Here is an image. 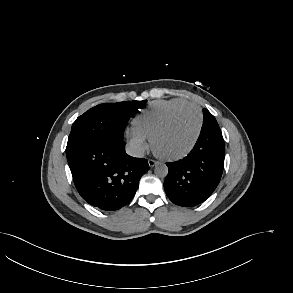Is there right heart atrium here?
I'll return each mask as SVG.
<instances>
[{"instance_id":"obj_1","label":"right heart atrium","mask_w":293,"mask_h":293,"mask_svg":"<svg viewBox=\"0 0 293 293\" xmlns=\"http://www.w3.org/2000/svg\"><path fill=\"white\" fill-rule=\"evenodd\" d=\"M126 138L131 151L135 155L141 156L149 149L148 140L133 130L127 132Z\"/></svg>"}]
</instances>
